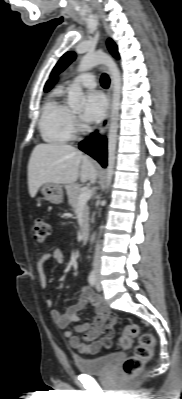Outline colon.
I'll return each mask as SVG.
<instances>
[{
	"mask_svg": "<svg viewBox=\"0 0 182 399\" xmlns=\"http://www.w3.org/2000/svg\"><path fill=\"white\" fill-rule=\"evenodd\" d=\"M31 232L33 240L42 243L50 233V226L43 218L36 216L32 219ZM135 338L139 339V344L134 354L122 364V372L126 376L139 373L153 356L155 347L154 335L151 332L142 331L137 325L125 326L118 339V345L121 349H128Z\"/></svg>",
	"mask_w": 182,
	"mask_h": 399,
	"instance_id": "obj_1",
	"label": "colon"
}]
</instances>
